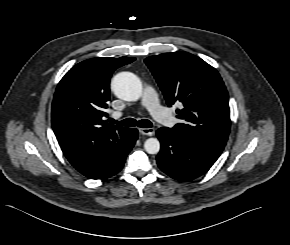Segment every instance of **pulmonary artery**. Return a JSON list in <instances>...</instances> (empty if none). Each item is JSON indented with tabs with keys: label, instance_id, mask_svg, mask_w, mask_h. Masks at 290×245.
Returning a JSON list of instances; mask_svg holds the SVG:
<instances>
[{
	"label": "pulmonary artery",
	"instance_id": "obj_1",
	"mask_svg": "<svg viewBox=\"0 0 290 245\" xmlns=\"http://www.w3.org/2000/svg\"><path fill=\"white\" fill-rule=\"evenodd\" d=\"M142 104L149 110L151 115L158 122L167 127L175 125V118L167 109L162 107L159 103L157 94L151 86H146L142 94ZM115 117H120L121 113H113Z\"/></svg>",
	"mask_w": 290,
	"mask_h": 245
}]
</instances>
